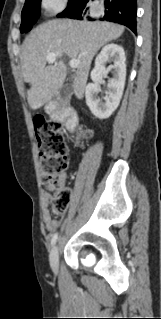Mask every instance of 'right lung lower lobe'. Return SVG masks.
Wrapping results in <instances>:
<instances>
[{"mask_svg": "<svg viewBox=\"0 0 161 319\" xmlns=\"http://www.w3.org/2000/svg\"><path fill=\"white\" fill-rule=\"evenodd\" d=\"M88 1L89 0L78 1L68 12L59 16L80 20L88 18L91 20V18L87 16L88 8H85ZM104 7V14L99 20L123 24L136 33V0H104Z\"/></svg>", "mask_w": 161, "mask_h": 319, "instance_id": "obj_1", "label": "right lung lower lobe"}]
</instances>
